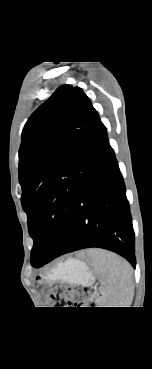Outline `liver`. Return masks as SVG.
Instances as JSON below:
<instances>
[{"label":"liver","mask_w":152,"mask_h":369,"mask_svg":"<svg viewBox=\"0 0 152 369\" xmlns=\"http://www.w3.org/2000/svg\"><path fill=\"white\" fill-rule=\"evenodd\" d=\"M87 255L90 256L91 255V250L87 251Z\"/></svg>","instance_id":"1"}]
</instances>
